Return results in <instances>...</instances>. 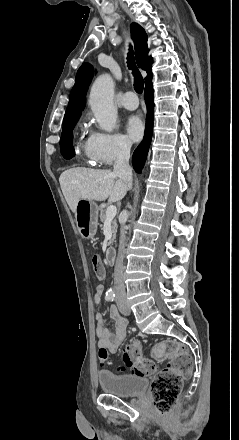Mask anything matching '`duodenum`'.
Instances as JSON below:
<instances>
[{
  "instance_id": "410a0bca",
  "label": "duodenum",
  "mask_w": 239,
  "mask_h": 440,
  "mask_svg": "<svg viewBox=\"0 0 239 440\" xmlns=\"http://www.w3.org/2000/svg\"><path fill=\"white\" fill-rule=\"evenodd\" d=\"M106 260L109 264H113L115 260V250L112 248H109L106 251Z\"/></svg>"
}]
</instances>
